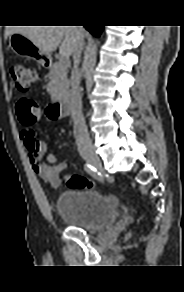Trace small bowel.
I'll return each mask as SVG.
<instances>
[{"instance_id": "1", "label": "small bowel", "mask_w": 184, "mask_h": 292, "mask_svg": "<svg viewBox=\"0 0 184 292\" xmlns=\"http://www.w3.org/2000/svg\"><path fill=\"white\" fill-rule=\"evenodd\" d=\"M20 140L33 171L51 187H58L61 184L60 175L67 167L65 163L59 162V155L49 153L47 163L43 162L46 146L36 138L35 132L30 126H24L21 130Z\"/></svg>"}]
</instances>
